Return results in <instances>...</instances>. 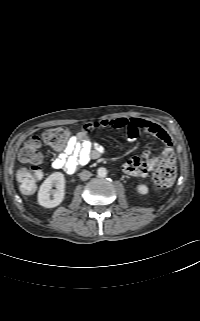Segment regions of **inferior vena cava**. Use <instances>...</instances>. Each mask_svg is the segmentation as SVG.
Listing matches in <instances>:
<instances>
[{"label": "inferior vena cava", "instance_id": "602c4592", "mask_svg": "<svg viewBox=\"0 0 200 321\" xmlns=\"http://www.w3.org/2000/svg\"><path fill=\"white\" fill-rule=\"evenodd\" d=\"M79 177L81 180L85 181L88 180L91 177V172L87 170H83L80 174Z\"/></svg>", "mask_w": 200, "mask_h": 321}]
</instances>
